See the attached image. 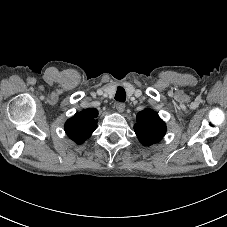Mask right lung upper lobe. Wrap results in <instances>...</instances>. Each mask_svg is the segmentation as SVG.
Returning a JSON list of instances; mask_svg holds the SVG:
<instances>
[{"mask_svg":"<svg viewBox=\"0 0 227 227\" xmlns=\"http://www.w3.org/2000/svg\"><path fill=\"white\" fill-rule=\"evenodd\" d=\"M97 116V110L92 108L77 112L65 123L67 135L76 143H83L97 127V120H95Z\"/></svg>","mask_w":227,"mask_h":227,"instance_id":"1","label":"right lung upper lobe"}]
</instances>
